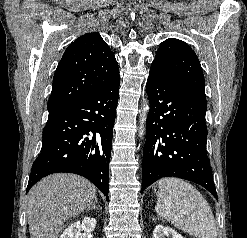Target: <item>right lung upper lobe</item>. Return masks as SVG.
Masks as SVG:
<instances>
[{"mask_svg": "<svg viewBox=\"0 0 247 238\" xmlns=\"http://www.w3.org/2000/svg\"><path fill=\"white\" fill-rule=\"evenodd\" d=\"M118 74L115 56L99 33L77 38L65 50L54 74L49 115L81 100Z\"/></svg>", "mask_w": 247, "mask_h": 238, "instance_id": "right-lung-upper-lobe-1", "label": "right lung upper lobe"}]
</instances>
